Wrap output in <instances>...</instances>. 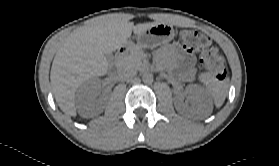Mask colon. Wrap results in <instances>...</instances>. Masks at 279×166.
Masks as SVG:
<instances>
[{
    "label": "colon",
    "instance_id": "colon-1",
    "mask_svg": "<svg viewBox=\"0 0 279 166\" xmlns=\"http://www.w3.org/2000/svg\"><path fill=\"white\" fill-rule=\"evenodd\" d=\"M180 38L184 48L200 53V61L206 70L219 80L227 77L222 57L215 47L210 46L209 39L203 33L196 30H183Z\"/></svg>",
    "mask_w": 279,
    "mask_h": 166
}]
</instances>
